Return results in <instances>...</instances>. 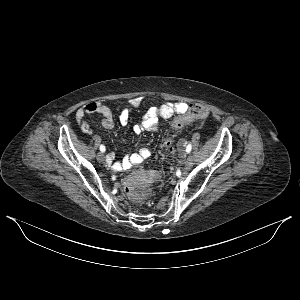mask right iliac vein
<instances>
[{"label":"right iliac vein","mask_w":300,"mask_h":300,"mask_svg":"<svg viewBox=\"0 0 300 300\" xmlns=\"http://www.w3.org/2000/svg\"><path fill=\"white\" fill-rule=\"evenodd\" d=\"M97 160H98L99 163H103L104 160H105L104 154L101 153V152H99V153L97 154Z\"/></svg>","instance_id":"right-iliac-vein-1"}]
</instances>
